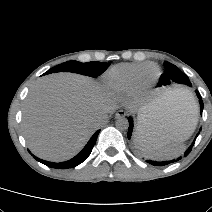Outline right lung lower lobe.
I'll return each instance as SVG.
<instances>
[{
	"instance_id": "1",
	"label": "right lung lower lobe",
	"mask_w": 212,
	"mask_h": 212,
	"mask_svg": "<svg viewBox=\"0 0 212 212\" xmlns=\"http://www.w3.org/2000/svg\"><path fill=\"white\" fill-rule=\"evenodd\" d=\"M45 74H49V71H47L43 75H45ZM99 132H100V130H98L91 137L89 142L86 144V146L82 149V151L79 154H77L74 158H72L71 160H68L66 162L54 163V162H48V161H45V160H41V159H39V158H37L35 156H34V158L36 160H38L39 162H41V163H43L46 166L51 167V168H56V169L73 168V167L81 164L83 161H85L88 158V156L90 155V153H91V151L93 149V146L96 143L97 136H98Z\"/></svg>"
}]
</instances>
